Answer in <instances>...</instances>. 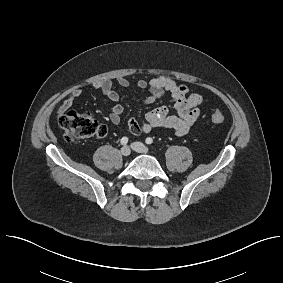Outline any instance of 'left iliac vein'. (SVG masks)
<instances>
[{"mask_svg": "<svg viewBox=\"0 0 283 283\" xmlns=\"http://www.w3.org/2000/svg\"><path fill=\"white\" fill-rule=\"evenodd\" d=\"M131 146L138 153H143V154L148 153V148L141 142H134L132 143Z\"/></svg>", "mask_w": 283, "mask_h": 283, "instance_id": "obj_1", "label": "left iliac vein"}]
</instances>
